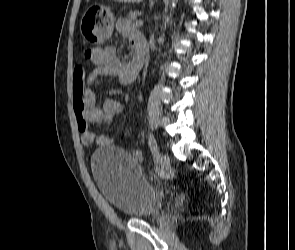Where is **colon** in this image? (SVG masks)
Masks as SVG:
<instances>
[{
    "label": "colon",
    "instance_id": "obj_1",
    "mask_svg": "<svg viewBox=\"0 0 295 250\" xmlns=\"http://www.w3.org/2000/svg\"><path fill=\"white\" fill-rule=\"evenodd\" d=\"M83 58L85 60H90L92 58V50L91 49L85 50L83 53Z\"/></svg>",
    "mask_w": 295,
    "mask_h": 250
}]
</instances>
